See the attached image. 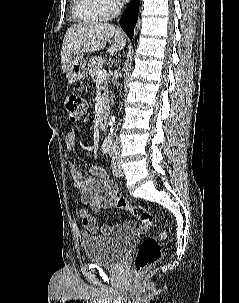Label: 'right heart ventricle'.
I'll list each match as a JSON object with an SVG mask.
<instances>
[{
  "label": "right heart ventricle",
  "mask_w": 239,
  "mask_h": 303,
  "mask_svg": "<svg viewBox=\"0 0 239 303\" xmlns=\"http://www.w3.org/2000/svg\"><path fill=\"white\" fill-rule=\"evenodd\" d=\"M72 13L75 18L83 22L104 19L97 13L93 0H73Z\"/></svg>",
  "instance_id": "e07e8e85"
}]
</instances>
